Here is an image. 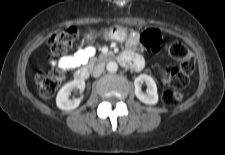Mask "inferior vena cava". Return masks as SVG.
Segmentation results:
<instances>
[{
  "mask_svg": "<svg viewBox=\"0 0 225 155\" xmlns=\"http://www.w3.org/2000/svg\"><path fill=\"white\" fill-rule=\"evenodd\" d=\"M104 64H98L94 67L92 74L94 77H99L104 72Z\"/></svg>",
  "mask_w": 225,
  "mask_h": 155,
  "instance_id": "602c4592",
  "label": "inferior vena cava"
}]
</instances>
